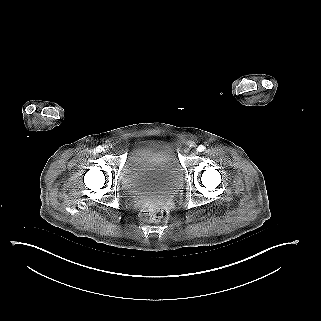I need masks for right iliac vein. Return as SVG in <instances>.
<instances>
[{
    "instance_id": "63e3f726",
    "label": "right iliac vein",
    "mask_w": 321,
    "mask_h": 321,
    "mask_svg": "<svg viewBox=\"0 0 321 321\" xmlns=\"http://www.w3.org/2000/svg\"><path fill=\"white\" fill-rule=\"evenodd\" d=\"M109 150L108 146H105L104 152H107Z\"/></svg>"
}]
</instances>
